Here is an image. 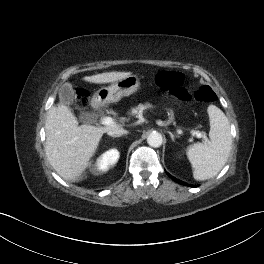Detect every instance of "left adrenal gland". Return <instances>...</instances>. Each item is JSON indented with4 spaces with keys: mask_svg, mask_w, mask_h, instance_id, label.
<instances>
[{
    "mask_svg": "<svg viewBox=\"0 0 264 264\" xmlns=\"http://www.w3.org/2000/svg\"><path fill=\"white\" fill-rule=\"evenodd\" d=\"M167 132L169 133V135H170V137H171V139H172L173 142H175V137H177V138L179 137V136H177V135L175 136V135H174L172 132H170V131H167Z\"/></svg>",
    "mask_w": 264,
    "mask_h": 264,
    "instance_id": "left-adrenal-gland-1",
    "label": "left adrenal gland"
}]
</instances>
